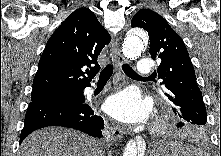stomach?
<instances>
[{
    "mask_svg": "<svg viewBox=\"0 0 221 156\" xmlns=\"http://www.w3.org/2000/svg\"><path fill=\"white\" fill-rule=\"evenodd\" d=\"M150 156H189L184 147L173 141H162L150 152Z\"/></svg>",
    "mask_w": 221,
    "mask_h": 156,
    "instance_id": "1",
    "label": "stomach"
}]
</instances>
